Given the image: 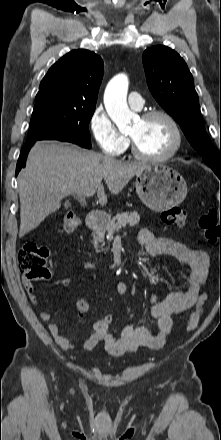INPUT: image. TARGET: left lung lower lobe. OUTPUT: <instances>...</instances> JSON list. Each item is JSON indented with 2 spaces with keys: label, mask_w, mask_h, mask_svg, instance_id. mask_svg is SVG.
<instances>
[{
  "label": "left lung lower lobe",
  "mask_w": 221,
  "mask_h": 440,
  "mask_svg": "<svg viewBox=\"0 0 221 440\" xmlns=\"http://www.w3.org/2000/svg\"><path fill=\"white\" fill-rule=\"evenodd\" d=\"M216 174L220 177L221 176V171H217Z\"/></svg>",
  "instance_id": "1"
}]
</instances>
